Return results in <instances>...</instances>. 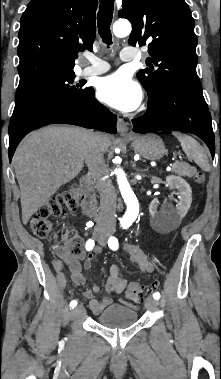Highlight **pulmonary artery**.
I'll return each mask as SVG.
<instances>
[{
  "label": "pulmonary artery",
  "mask_w": 221,
  "mask_h": 379,
  "mask_svg": "<svg viewBox=\"0 0 221 379\" xmlns=\"http://www.w3.org/2000/svg\"><path fill=\"white\" fill-rule=\"evenodd\" d=\"M136 57V51L131 48H124L120 53V59L122 61H130ZM90 65L83 69L84 75H100L109 70V65L104 60L98 58L95 55L87 56Z\"/></svg>",
  "instance_id": "e3ab8cb5"
}]
</instances>
